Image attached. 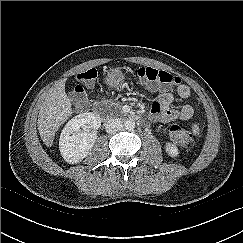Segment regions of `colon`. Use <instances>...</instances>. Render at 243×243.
Returning a JSON list of instances; mask_svg holds the SVG:
<instances>
[{
  "label": "colon",
  "instance_id": "1",
  "mask_svg": "<svg viewBox=\"0 0 243 243\" xmlns=\"http://www.w3.org/2000/svg\"><path fill=\"white\" fill-rule=\"evenodd\" d=\"M133 72L134 75L142 81L166 88H172L181 82L177 75L151 67H138ZM97 74L96 69H89L75 76L76 83L72 87L70 95L76 108L85 109L87 107L86 91L83 85L91 84L96 79ZM168 128L169 135L174 142L186 144L191 140L190 132L181 125L171 123Z\"/></svg>",
  "mask_w": 243,
  "mask_h": 243
}]
</instances>
